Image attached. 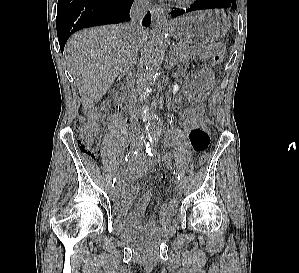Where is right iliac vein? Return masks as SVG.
<instances>
[{
	"mask_svg": "<svg viewBox=\"0 0 299 273\" xmlns=\"http://www.w3.org/2000/svg\"><path fill=\"white\" fill-rule=\"evenodd\" d=\"M138 147V143L135 141H130L128 144V148L130 151H133L134 149H136ZM114 191V189L111 188L110 193L112 194Z\"/></svg>",
	"mask_w": 299,
	"mask_h": 273,
	"instance_id": "1",
	"label": "right iliac vein"
}]
</instances>
